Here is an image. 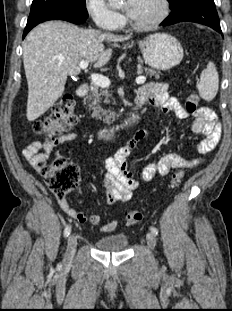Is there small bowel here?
Here are the masks:
<instances>
[{
    "label": "small bowel",
    "instance_id": "1",
    "mask_svg": "<svg viewBox=\"0 0 232 311\" xmlns=\"http://www.w3.org/2000/svg\"><path fill=\"white\" fill-rule=\"evenodd\" d=\"M138 106L148 104L151 108H159L164 114L174 113L179 119L187 120L188 112L181 103L168 93L165 83L149 82L142 86L138 93ZM191 130L196 134H201L204 138L197 143V151L204 156L210 153L220 140L221 126L215 114L208 108H199L192 114ZM147 135L146 129H140L127 140L126 144L119 148L104 163L105 174L103 187L106 192L107 203L127 202L132 198L133 192L139 186V180L134 175L128 164V157ZM76 132H67L59 135L52 141L41 142L34 140L23 150L22 154L28 163L38 172V162L47 160L53 148L65 143L73 142L78 139ZM200 162L199 159L189 160L176 153L163 156L156 162L146 165L141 172V180L144 182L152 181L157 175L166 176L172 170L178 168L190 169ZM57 201L61 209L72 219L80 224L89 223L98 225L102 221L99 214L89 216L75 210L65 196H57ZM118 225L117 220H112L102 226L104 233L115 230Z\"/></svg>",
    "mask_w": 232,
    "mask_h": 311
}]
</instances>
